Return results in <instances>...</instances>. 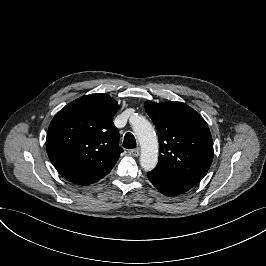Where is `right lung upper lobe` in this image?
<instances>
[{
    "mask_svg": "<svg viewBox=\"0 0 266 266\" xmlns=\"http://www.w3.org/2000/svg\"><path fill=\"white\" fill-rule=\"evenodd\" d=\"M119 106L106 94L82 96L60 110L47 132L48 156L68 181L89 185L107 175L123 149L113 117Z\"/></svg>",
    "mask_w": 266,
    "mask_h": 266,
    "instance_id": "cb5924a9",
    "label": "right lung upper lobe"
}]
</instances>
